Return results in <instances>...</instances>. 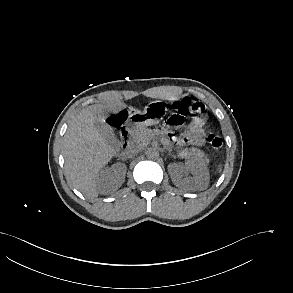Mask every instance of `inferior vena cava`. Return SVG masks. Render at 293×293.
Here are the masks:
<instances>
[{
	"instance_id": "1",
	"label": "inferior vena cava",
	"mask_w": 293,
	"mask_h": 293,
	"mask_svg": "<svg viewBox=\"0 0 293 293\" xmlns=\"http://www.w3.org/2000/svg\"><path fill=\"white\" fill-rule=\"evenodd\" d=\"M139 152H140V148L138 147L129 148L122 153V156L124 158H131L136 156Z\"/></svg>"
}]
</instances>
